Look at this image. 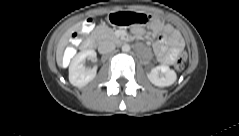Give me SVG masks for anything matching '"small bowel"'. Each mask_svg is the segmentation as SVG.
Listing matches in <instances>:
<instances>
[{
    "mask_svg": "<svg viewBox=\"0 0 239 136\" xmlns=\"http://www.w3.org/2000/svg\"><path fill=\"white\" fill-rule=\"evenodd\" d=\"M151 28L154 30L164 29L169 33L171 46L168 48L165 38L161 37L154 48L160 63L165 65L173 64L181 55L182 40L179 34L174 31L171 26H163L159 21L153 22ZM132 33L139 36L143 33V30L137 27L135 30H132Z\"/></svg>",
    "mask_w": 239,
    "mask_h": 136,
    "instance_id": "obj_1",
    "label": "small bowel"
}]
</instances>
